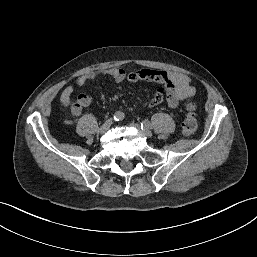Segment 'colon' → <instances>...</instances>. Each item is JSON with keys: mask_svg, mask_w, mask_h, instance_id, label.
Here are the masks:
<instances>
[{"mask_svg": "<svg viewBox=\"0 0 257 257\" xmlns=\"http://www.w3.org/2000/svg\"><path fill=\"white\" fill-rule=\"evenodd\" d=\"M197 127H198L197 116L194 112V107L190 105L188 107V111L182 122L181 130L183 135L192 136L196 132Z\"/></svg>", "mask_w": 257, "mask_h": 257, "instance_id": "obj_1", "label": "colon"}]
</instances>
